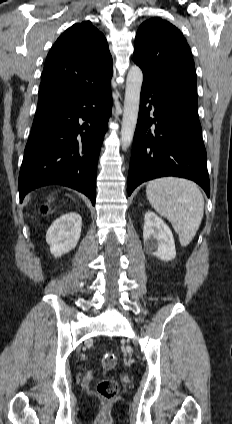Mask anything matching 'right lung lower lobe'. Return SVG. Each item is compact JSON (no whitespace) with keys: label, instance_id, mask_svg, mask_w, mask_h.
Wrapping results in <instances>:
<instances>
[{"label":"right lung lower lobe","instance_id":"right-lung-lower-lobe-1","mask_svg":"<svg viewBox=\"0 0 232 424\" xmlns=\"http://www.w3.org/2000/svg\"><path fill=\"white\" fill-rule=\"evenodd\" d=\"M111 107L110 85L86 96L38 104L19 174L20 202L37 187L59 184L95 204L96 167Z\"/></svg>","mask_w":232,"mask_h":424}]
</instances>
